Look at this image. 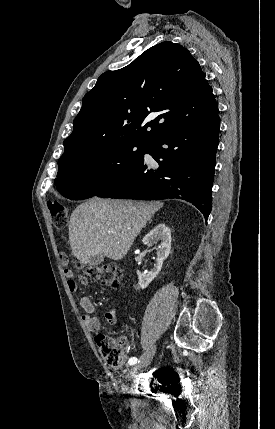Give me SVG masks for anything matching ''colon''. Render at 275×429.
<instances>
[{
    "label": "colon",
    "instance_id": "5ec220e1",
    "mask_svg": "<svg viewBox=\"0 0 275 429\" xmlns=\"http://www.w3.org/2000/svg\"><path fill=\"white\" fill-rule=\"evenodd\" d=\"M48 209L54 227L58 231L63 230L68 223L69 213L67 207L59 201H49ZM59 257L63 265L67 264L68 258L64 253H61ZM80 268L82 278H88L111 287L119 286L123 275L122 268L115 263L87 265L80 266ZM95 342L106 365L115 370L120 369L126 358L122 339L98 334L95 336Z\"/></svg>",
    "mask_w": 275,
    "mask_h": 429
}]
</instances>
